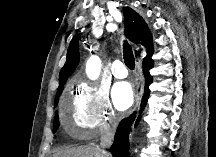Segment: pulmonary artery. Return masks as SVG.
<instances>
[{
    "label": "pulmonary artery",
    "mask_w": 216,
    "mask_h": 157,
    "mask_svg": "<svg viewBox=\"0 0 216 157\" xmlns=\"http://www.w3.org/2000/svg\"><path fill=\"white\" fill-rule=\"evenodd\" d=\"M111 70L116 78H125L128 74L125 64L120 60H115L112 63Z\"/></svg>",
    "instance_id": "1"
}]
</instances>
